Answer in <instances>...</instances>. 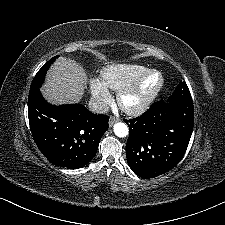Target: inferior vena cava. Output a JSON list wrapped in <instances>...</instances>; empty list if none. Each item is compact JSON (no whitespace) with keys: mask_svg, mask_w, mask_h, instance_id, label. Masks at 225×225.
I'll return each instance as SVG.
<instances>
[{"mask_svg":"<svg viewBox=\"0 0 225 225\" xmlns=\"http://www.w3.org/2000/svg\"><path fill=\"white\" fill-rule=\"evenodd\" d=\"M88 108L91 112L96 114H104L109 110L108 105L105 102L99 100H90L88 103Z\"/></svg>","mask_w":225,"mask_h":225,"instance_id":"602c4592","label":"inferior vena cava"}]
</instances>
